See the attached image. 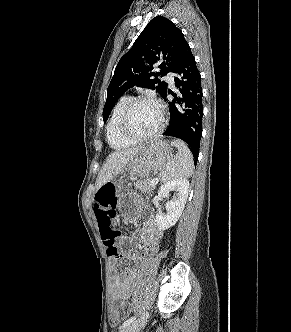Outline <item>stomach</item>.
I'll return each instance as SVG.
<instances>
[{"label":"stomach","instance_id":"1","mask_svg":"<svg viewBox=\"0 0 291 332\" xmlns=\"http://www.w3.org/2000/svg\"><path fill=\"white\" fill-rule=\"evenodd\" d=\"M172 158L173 154L169 144L161 140L152 142L135 155L114 182L118 191L117 209L120 213H125L130 205H134L139 200V196L136 193L125 189L123 186L126 172L132 177L144 178L149 173L164 168Z\"/></svg>","mask_w":291,"mask_h":332}]
</instances>
